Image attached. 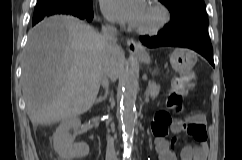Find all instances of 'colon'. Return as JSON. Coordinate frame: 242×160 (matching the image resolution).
<instances>
[{
    "instance_id": "5ec220e1",
    "label": "colon",
    "mask_w": 242,
    "mask_h": 160,
    "mask_svg": "<svg viewBox=\"0 0 242 160\" xmlns=\"http://www.w3.org/2000/svg\"><path fill=\"white\" fill-rule=\"evenodd\" d=\"M194 76L189 74L181 76L173 81V84L166 96V107L178 114L182 111L183 97L188 93L192 86ZM172 121V117L168 111H160L156 114L152 125L155 134H162L168 131V126ZM192 130H189L191 132ZM195 140L206 139L205 129L202 125H197L192 136Z\"/></svg>"
}]
</instances>
